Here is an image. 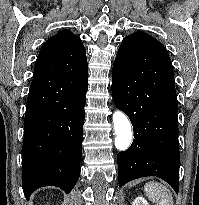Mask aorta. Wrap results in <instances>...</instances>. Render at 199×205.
<instances>
[{"label": "aorta", "instance_id": "aorta-1", "mask_svg": "<svg viewBox=\"0 0 199 205\" xmlns=\"http://www.w3.org/2000/svg\"><path fill=\"white\" fill-rule=\"evenodd\" d=\"M113 123L116 135L115 147L119 151H125L129 148L132 140L131 124L121 111L114 112Z\"/></svg>", "mask_w": 199, "mask_h": 205}]
</instances>
